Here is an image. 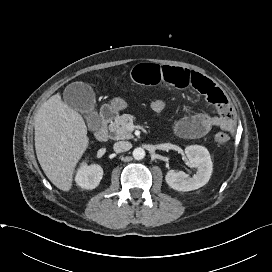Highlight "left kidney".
<instances>
[{
    "label": "left kidney",
    "instance_id": "obj_1",
    "mask_svg": "<svg viewBox=\"0 0 272 272\" xmlns=\"http://www.w3.org/2000/svg\"><path fill=\"white\" fill-rule=\"evenodd\" d=\"M185 154L190 166L196 168L197 172L190 177L182 171L170 170L165 177L167 184L178 191H191L204 186L209 181L213 170L209 151L205 147L200 145L187 146Z\"/></svg>",
    "mask_w": 272,
    "mask_h": 272
}]
</instances>
